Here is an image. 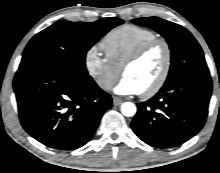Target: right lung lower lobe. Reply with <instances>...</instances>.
<instances>
[{
  "label": "right lung lower lobe",
  "instance_id": "obj_1",
  "mask_svg": "<svg viewBox=\"0 0 220 173\" xmlns=\"http://www.w3.org/2000/svg\"><path fill=\"white\" fill-rule=\"evenodd\" d=\"M21 124L37 141L74 150L90 141L112 98L89 76L54 67L19 68L14 79Z\"/></svg>",
  "mask_w": 220,
  "mask_h": 173
}]
</instances>
